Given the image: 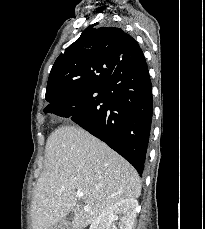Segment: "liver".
Listing matches in <instances>:
<instances>
[{
	"instance_id": "1",
	"label": "liver",
	"mask_w": 205,
	"mask_h": 229,
	"mask_svg": "<svg viewBox=\"0 0 205 229\" xmlns=\"http://www.w3.org/2000/svg\"><path fill=\"white\" fill-rule=\"evenodd\" d=\"M140 194L139 175L129 162L84 129L61 126L46 143L31 202L33 229H49L70 212L73 229H82L116 202Z\"/></svg>"
}]
</instances>
